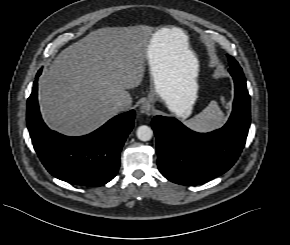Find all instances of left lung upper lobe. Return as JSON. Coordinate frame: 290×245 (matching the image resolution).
I'll list each match as a JSON object with an SVG mask.
<instances>
[{
    "mask_svg": "<svg viewBox=\"0 0 290 245\" xmlns=\"http://www.w3.org/2000/svg\"><path fill=\"white\" fill-rule=\"evenodd\" d=\"M228 60H229V65L230 66L240 67L238 62L234 59V57L228 55Z\"/></svg>",
    "mask_w": 290,
    "mask_h": 245,
    "instance_id": "left-lung-upper-lobe-1",
    "label": "left lung upper lobe"
}]
</instances>
